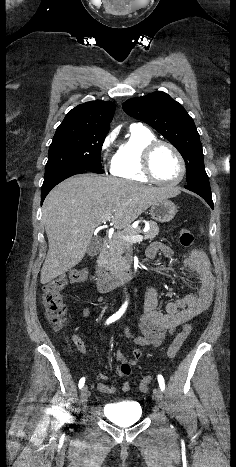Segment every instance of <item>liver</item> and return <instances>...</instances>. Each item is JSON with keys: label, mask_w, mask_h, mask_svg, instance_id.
Masks as SVG:
<instances>
[{"label": "liver", "mask_w": 236, "mask_h": 467, "mask_svg": "<svg viewBox=\"0 0 236 467\" xmlns=\"http://www.w3.org/2000/svg\"><path fill=\"white\" fill-rule=\"evenodd\" d=\"M176 188L149 187L87 173L56 186L43 204L49 249L41 270L46 284L76 266L94 230L110 216L115 229L128 227L157 201L177 196Z\"/></svg>", "instance_id": "obj_1"}]
</instances>
